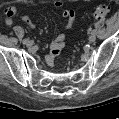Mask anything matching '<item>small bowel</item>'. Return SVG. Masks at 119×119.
Segmentation results:
<instances>
[{
	"label": "small bowel",
	"mask_w": 119,
	"mask_h": 119,
	"mask_svg": "<svg viewBox=\"0 0 119 119\" xmlns=\"http://www.w3.org/2000/svg\"><path fill=\"white\" fill-rule=\"evenodd\" d=\"M54 7L57 9H62L64 7V4L61 1H56L54 2ZM6 20L5 23L7 26H12L14 23V16L17 14V10L14 7H9L6 10ZM63 17L66 19V24H65V29L70 30L72 29L74 25V18H75V13L71 9H63L62 11ZM21 20L25 22L27 25H29L31 28H35V23L33 20L28 16V15H21ZM65 34H60L58 35L51 43H50V53L47 56V64L49 66H53L55 57L61 52L62 48L65 45Z\"/></svg>",
	"instance_id": "small-bowel-1"
}]
</instances>
